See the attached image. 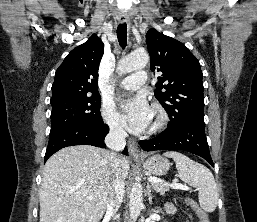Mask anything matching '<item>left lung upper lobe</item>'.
I'll use <instances>...</instances> for the list:
<instances>
[{
    "label": "left lung upper lobe",
    "mask_w": 257,
    "mask_h": 222,
    "mask_svg": "<svg viewBox=\"0 0 257 222\" xmlns=\"http://www.w3.org/2000/svg\"><path fill=\"white\" fill-rule=\"evenodd\" d=\"M151 71L158 73L154 93L173 126L204 121L203 82L200 63L181 42L150 29L146 34Z\"/></svg>",
    "instance_id": "obj_1"
}]
</instances>
